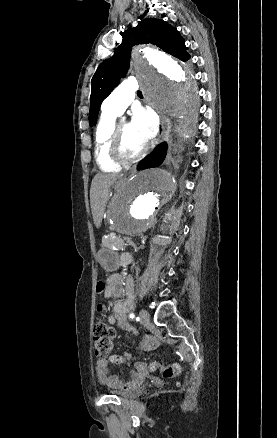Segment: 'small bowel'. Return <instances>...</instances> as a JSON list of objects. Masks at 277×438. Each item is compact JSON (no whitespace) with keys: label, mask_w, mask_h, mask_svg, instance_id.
Instances as JSON below:
<instances>
[{"label":"small bowel","mask_w":277,"mask_h":438,"mask_svg":"<svg viewBox=\"0 0 277 438\" xmlns=\"http://www.w3.org/2000/svg\"><path fill=\"white\" fill-rule=\"evenodd\" d=\"M126 261L130 259L129 256L125 257ZM124 293L125 298L116 302L113 305L112 313L107 316V322L111 325L117 324L119 327L136 333V330L126 322V315L133 309L135 300V282L132 278H129L125 286L121 284V279L118 275H112L107 279L106 289L104 295L108 299L119 297ZM129 360H135L137 369L132 372L127 378L122 379L118 375L110 374L108 363L106 359H99L96 363V374L99 381L112 388L130 390L136 387L143 379L144 366L139 362V358L133 357L129 353ZM118 363H120L118 361ZM115 363V364H118Z\"/></svg>","instance_id":"1"}]
</instances>
